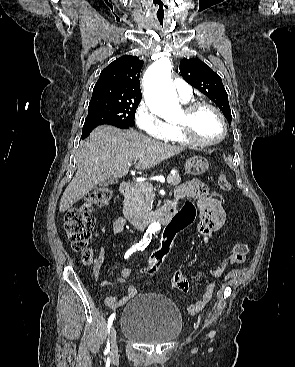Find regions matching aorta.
Listing matches in <instances>:
<instances>
[{"mask_svg":"<svg viewBox=\"0 0 295 367\" xmlns=\"http://www.w3.org/2000/svg\"><path fill=\"white\" fill-rule=\"evenodd\" d=\"M171 62L161 58L154 62L144 75V97L149 109L163 118H171L181 113L177 93L171 82ZM160 230L158 223H152L144 240L150 241L152 235Z\"/></svg>","mask_w":295,"mask_h":367,"instance_id":"aorta-1","label":"aorta"}]
</instances>
